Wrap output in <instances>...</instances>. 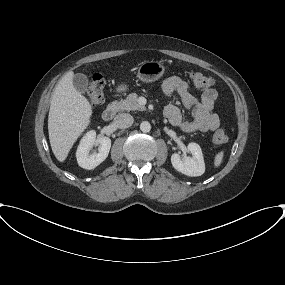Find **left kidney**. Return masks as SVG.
<instances>
[{
	"label": "left kidney",
	"mask_w": 285,
	"mask_h": 285,
	"mask_svg": "<svg viewBox=\"0 0 285 285\" xmlns=\"http://www.w3.org/2000/svg\"><path fill=\"white\" fill-rule=\"evenodd\" d=\"M187 148L192 154V157H186L182 160L179 154L174 153L171 156L172 166L184 175L191 177L201 176L205 172V163L201 147L197 143L191 142Z\"/></svg>",
	"instance_id": "left-kidney-1"
}]
</instances>
